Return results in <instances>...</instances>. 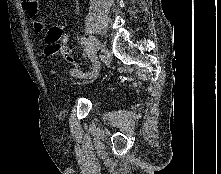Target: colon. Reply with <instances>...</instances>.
Listing matches in <instances>:
<instances>
[{
    "instance_id": "colon-1",
    "label": "colon",
    "mask_w": 221,
    "mask_h": 174,
    "mask_svg": "<svg viewBox=\"0 0 221 174\" xmlns=\"http://www.w3.org/2000/svg\"><path fill=\"white\" fill-rule=\"evenodd\" d=\"M47 38L49 41L53 42V51L55 54L62 56L71 64H76V61L71 55L70 48L66 43V39L63 37V34L59 29L51 28L47 33Z\"/></svg>"
}]
</instances>
